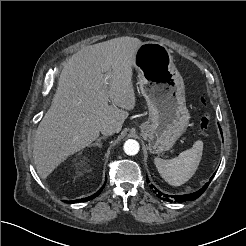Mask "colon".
Returning a JSON list of instances; mask_svg holds the SVG:
<instances>
[{
    "mask_svg": "<svg viewBox=\"0 0 246 246\" xmlns=\"http://www.w3.org/2000/svg\"><path fill=\"white\" fill-rule=\"evenodd\" d=\"M200 101L202 103H205V99L203 96H200ZM200 129L203 131V132H208L209 129H210V118L207 114L203 115L200 119Z\"/></svg>",
    "mask_w": 246,
    "mask_h": 246,
    "instance_id": "1",
    "label": "colon"
}]
</instances>
